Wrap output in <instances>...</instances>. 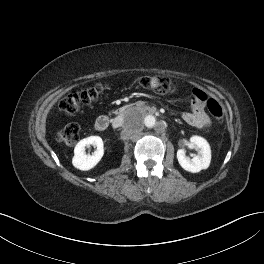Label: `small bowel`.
Wrapping results in <instances>:
<instances>
[{"label":"small bowel","instance_id":"small-bowel-1","mask_svg":"<svg viewBox=\"0 0 264 264\" xmlns=\"http://www.w3.org/2000/svg\"><path fill=\"white\" fill-rule=\"evenodd\" d=\"M206 94L199 90L194 89L191 96V111H184L181 114L182 119L189 125L196 128L207 127L210 123L209 116L205 111Z\"/></svg>","mask_w":264,"mask_h":264}]
</instances>
